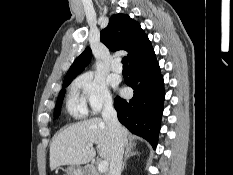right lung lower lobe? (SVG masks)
Returning a JSON list of instances; mask_svg holds the SVG:
<instances>
[{
	"instance_id": "1",
	"label": "right lung lower lobe",
	"mask_w": 233,
	"mask_h": 175,
	"mask_svg": "<svg viewBox=\"0 0 233 175\" xmlns=\"http://www.w3.org/2000/svg\"><path fill=\"white\" fill-rule=\"evenodd\" d=\"M130 69V77L125 82L134 90V96L131 100L116 97L114 107L119 121L155 148L161 128L165 92L154 50L131 62Z\"/></svg>"
}]
</instances>
